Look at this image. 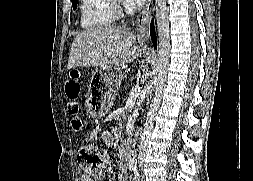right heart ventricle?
<instances>
[{"mask_svg":"<svg viewBox=\"0 0 253 181\" xmlns=\"http://www.w3.org/2000/svg\"><path fill=\"white\" fill-rule=\"evenodd\" d=\"M113 20L110 0H80V25L83 29L102 28Z\"/></svg>","mask_w":253,"mask_h":181,"instance_id":"e07e8e85","label":"right heart ventricle"}]
</instances>
